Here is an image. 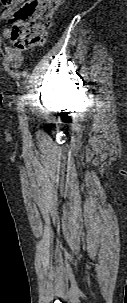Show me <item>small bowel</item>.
Here are the masks:
<instances>
[{
  "mask_svg": "<svg viewBox=\"0 0 127 303\" xmlns=\"http://www.w3.org/2000/svg\"><path fill=\"white\" fill-rule=\"evenodd\" d=\"M22 0H15V3L6 8L2 14L1 17L2 19H9L13 10V7L17 4H19ZM2 35L4 38H8L10 36V30L8 27L4 26L3 30H2ZM5 52L7 55V59L8 61L14 66V67H19L22 62H23V54L21 52V50H18L14 47L11 46H6L5 47Z\"/></svg>",
  "mask_w": 127,
  "mask_h": 303,
  "instance_id": "obj_1",
  "label": "small bowel"
}]
</instances>
